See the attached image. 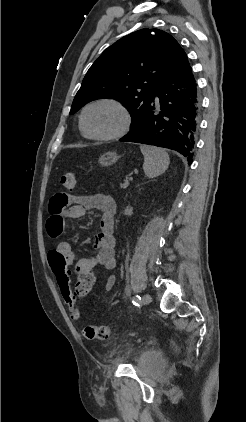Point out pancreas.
I'll return each instance as SVG.
<instances>
[{
  "instance_id": "1",
  "label": "pancreas",
  "mask_w": 246,
  "mask_h": 422,
  "mask_svg": "<svg viewBox=\"0 0 246 422\" xmlns=\"http://www.w3.org/2000/svg\"><path fill=\"white\" fill-rule=\"evenodd\" d=\"M128 180L126 179L125 180V183L127 182ZM125 183H123V184H120V186L122 187V188H125V187H127L129 184H125Z\"/></svg>"
}]
</instances>
